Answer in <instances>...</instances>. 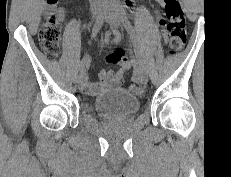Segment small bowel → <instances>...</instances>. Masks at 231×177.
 <instances>
[{"label":"small bowel","instance_id":"1","mask_svg":"<svg viewBox=\"0 0 231 177\" xmlns=\"http://www.w3.org/2000/svg\"><path fill=\"white\" fill-rule=\"evenodd\" d=\"M158 1L162 2V0H158ZM56 3L48 4V5L50 6V8H53L55 7ZM126 4L129 8L133 7L132 0H127ZM55 11L60 19L64 18L65 8L63 6L55 7ZM119 40H120V35L116 31H114L113 34L110 33L106 34L104 38V41L106 43H111V44H116L119 42ZM84 60L88 62L86 57L84 58ZM135 64H136L135 60H128V61L120 62L121 68L117 72L108 71L104 69L100 70L97 75V81L92 82L88 85L89 93L95 95L104 88L121 86L125 82V73L131 68H133Z\"/></svg>","mask_w":231,"mask_h":177}]
</instances>
